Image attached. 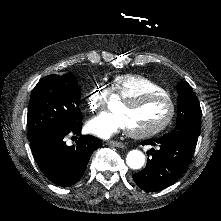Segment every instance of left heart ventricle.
I'll return each instance as SVG.
<instances>
[{
    "instance_id": "left-heart-ventricle-1",
    "label": "left heart ventricle",
    "mask_w": 221,
    "mask_h": 221,
    "mask_svg": "<svg viewBox=\"0 0 221 221\" xmlns=\"http://www.w3.org/2000/svg\"><path fill=\"white\" fill-rule=\"evenodd\" d=\"M171 114V107L165 101L142 103L136 112V118L142 125L147 122L165 120Z\"/></svg>"
}]
</instances>
